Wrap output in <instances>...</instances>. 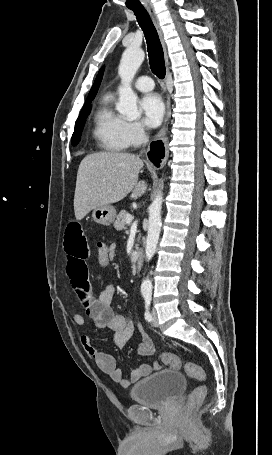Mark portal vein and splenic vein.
Listing matches in <instances>:
<instances>
[{
	"instance_id": "18ae733b",
	"label": "portal vein and splenic vein",
	"mask_w": 272,
	"mask_h": 455,
	"mask_svg": "<svg viewBox=\"0 0 272 455\" xmlns=\"http://www.w3.org/2000/svg\"><path fill=\"white\" fill-rule=\"evenodd\" d=\"M132 219H133L132 216L130 214H128L126 216V224H130L132 222Z\"/></svg>"
}]
</instances>
